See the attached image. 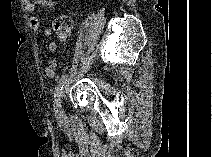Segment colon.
<instances>
[{"label": "colon", "mask_w": 212, "mask_h": 157, "mask_svg": "<svg viewBox=\"0 0 212 157\" xmlns=\"http://www.w3.org/2000/svg\"><path fill=\"white\" fill-rule=\"evenodd\" d=\"M73 29V20L69 15H59L53 22V30L55 35L60 40H65L70 37Z\"/></svg>", "instance_id": "colon-1"}]
</instances>
